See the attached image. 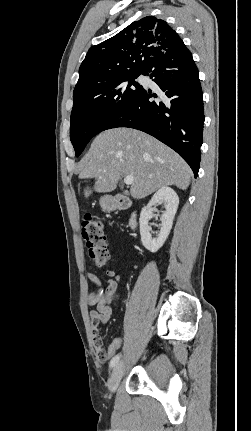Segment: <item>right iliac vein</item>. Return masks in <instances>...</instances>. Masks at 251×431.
<instances>
[{
    "instance_id": "obj_1",
    "label": "right iliac vein",
    "mask_w": 251,
    "mask_h": 431,
    "mask_svg": "<svg viewBox=\"0 0 251 431\" xmlns=\"http://www.w3.org/2000/svg\"><path fill=\"white\" fill-rule=\"evenodd\" d=\"M124 374V364L123 362H119L115 365V367L113 368L110 380H109V390L111 392H115L119 382L121 380V378L123 377Z\"/></svg>"
}]
</instances>
